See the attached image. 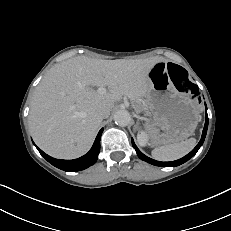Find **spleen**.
Masks as SVG:
<instances>
[{
    "instance_id": "spleen-1",
    "label": "spleen",
    "mask_w": 231,
    "mask_h": 231,
    "mask_svg": "<svg viewBox=\"0 0 231 231\" xmlns=\"http://www.w3.org/2000/svg\"><path fill=\"white\" fill-rule=\"evenodd\" d=\"M196 145V139L190 138L178 143L164 145L152 150V156L159 161H173L188 154Z\"/></svg>"
}]
</instances>
